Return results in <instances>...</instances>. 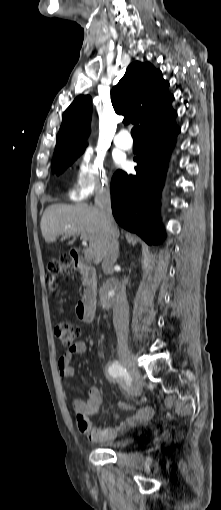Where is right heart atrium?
<instances>
[{
	"label": "right heart atrium",
	"instance_id": "obj_1",
	"mask_svg": "<svg viewBox=\"0 0 221 510\" xmlns=\"http://www.w3.org/2000/svg\"><path fill=\"white\" fill-rule=\"evenodd\" d=\"M107 186L108 179L102 155L85 148L80 154L75 175L70 183V197L84 200Z\"/></svg>",
	"mask_w": 221,
	"mask_h": 510
}]
</instances>
